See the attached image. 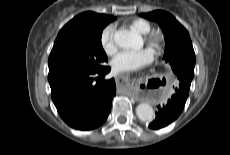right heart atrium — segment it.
I'll return each instance as SVG.
<instances>
[{
	"label": "right heart atrium",
	"instance_id": "d8ad5b80",
	"mask_svg": "<svg viewBox=\"0 0 230 155\" xmlns=\"http://www.w3.org/2000/svg\"><path fill=\"white\" fill-rule=\"evenodd\" d=\"M100 44L107 55H112L117 50L115 42V29L113 26H107L100 35Z\"/></svg>",
	"mask_w": 230,
	"mask_h": 155
}]
</instances>
